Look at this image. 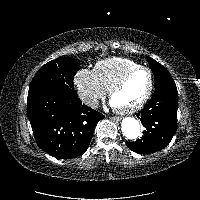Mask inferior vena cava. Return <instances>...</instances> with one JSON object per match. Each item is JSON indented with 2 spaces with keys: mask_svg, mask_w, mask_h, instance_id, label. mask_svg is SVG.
Masks as SVG:
<instances>
[{
  "mask_svg": "<svg viewBox=\"0 0 200 200\" xmlns=\"http://www.w3.org/2000/svg\"><path fill=\"white\" fill-rule=\"evenodd\" d=\"M81 100H82V102L84 104H86L87 106H89V107H91L93 109L97 108L98 104H99L98 99L95 98V97H91V96H89V97H82Z\"/></svg>",
  "mask_w": 200,
  "mask_h": 200,
  "instance_id": "602c4592",
  "label": "inferior vena cava"
}]
</instances>
